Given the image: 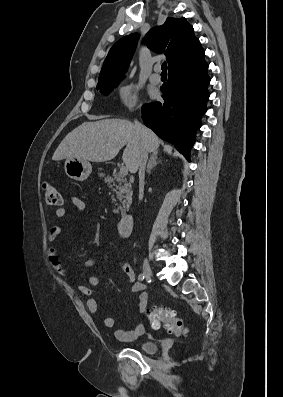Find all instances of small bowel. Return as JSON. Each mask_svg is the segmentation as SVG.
<instances>
[{
  "label": "small bowel",
  "instance_id": "1",
  "mask_svg": "<svg viewBox=\"0 0 283 397\" xmlns=\"http://www.w3.org/2000/svg\"><path fill=\"white\" fill-rule=\"evenodd\" d=\"M71 203L73 205V208L79 212V213H88L87 207L85 202L77 197V196H72L70 198ZM71 211L68 208L65 207H59L55 210L54 214L57 218H64L66 217ZM63 232V225L62 224H55L49 234H48V240L53 242L55 241ZM47 257L48 261L51 265V267L56 271L59 275L61 276H66L67 272L62 264V261L60 259L59 253L56 248L51 247L47 251ZM84 266L86 268H92L96 266V260L93 258L86 259L84 262ZM120 269L122 272L125 274L127 279L130 282V289L133 293L138 294V310L139 312H144L146 310L147 304H148V294L145 291V286L144 284L137 282L135 280V272L131 265L128 263H121L120 264ZM101 282V278L99 276H90L86 279V284H80L77 285V290L88 296V299L86 301V306L88 311L91 314H97L98 313V303L95 298L92 297L93 295V289L92 287H95L99 285ZM102 323L105 327L107 328H114L116 325V320L112 317H104L102 319ZM145 333V326L144 324L140 323L135 325L132 329L130 330H123V329H116L114 331V335L117 338V340L121 342H132L139 337H141Z\"/></svg>",
  "mask_w": 283,
  "mask_h": 397
}]
</instances>
